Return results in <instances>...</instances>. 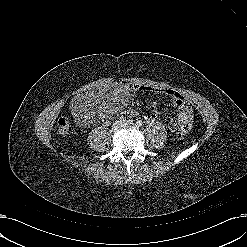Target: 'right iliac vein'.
<instances>
[{"instance_id": "right-iliac-vein-1", "label": "right iliac vein", "mask_w": 247, "mask_h": 247, "mask_svg": "<svg viewBox=\"0 0 247 247\" xmlns=\"http://www.w3.org/2000/svg\"><path fill=\"white\" fill-rule=\"evenodd\" d=\"M121 126H122V122L116 121V122L113 124L112 128H113L114 130H117V129L120 128Z\"/></svg>"}]
</instances>
